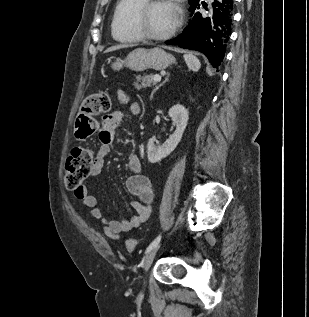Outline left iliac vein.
Listing matches in <instances>:
<instances>
[{
    "label": "left iliac vein",
    "instance_id": "left-iliac-vein-1",
    "mask_svg": "<svg viewBox=\"0 0 309 317\" xmlns=\"http://www.w3.org/2000/svg\"><path fill=\"white\" fill-rule=\"evenodd\" d=\"M160 248V244H157L155 247H153L149 252L148 254L146 255L145 259H144V263H143V268H144V271L145 273L148 272L154 258H155V255L157 253V251L159 250Z\"/></svg>",
    "mask_w": 309,
    "mask_h": 317
}]
</instances>
